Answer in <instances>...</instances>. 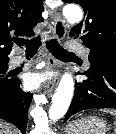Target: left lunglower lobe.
<instances>
[{
    "mask_svg": "<svg viewBox=\"0 0 116 134\" xmlns=\"http://www.w3.org/2000/svg\"><path fill=\"white\" fill-rule=\"evenodd\" d=\"M79 74L87 76V79L75 85L74 97L64 122L83 110L116 109V60L93 59L91 67Z\"/></svg>",
    "mask_w": 116,
    "mask_h": 134,
    "instance_id": "obj_1",
    "label": "left lung lower lobe"
}]
</instances>
